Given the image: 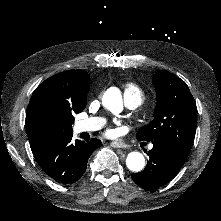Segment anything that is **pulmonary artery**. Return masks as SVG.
Listing matches in <instances>:
<instances>
[{
    "mask_svg": "<svg viewBox=\"0 0 221 221\" xmlns=\"http://www.w3.org/2000/svg\"><path fill=\"white\" fill-rule=\"evenodd\" d=\"M127 105L129 109H136L140 106V93L136 88V81L135 80H128L127 81ZM105 120L103 118H89L79 123L80 131H87L90 128L93 129H100L103 127Z\"/></svg>",
    "mask_w": 221,
    "mask_h": 221,
    "instance_id": "pulmonary-artery-1",
    "label": "pulmonary artery"
}]
</instances>
